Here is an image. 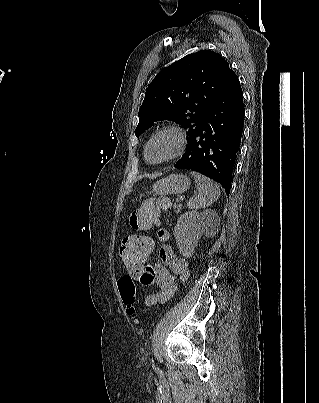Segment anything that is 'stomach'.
<instances>
[{
  "instance_id": "0dacf381",
  "label": "stomach",
  "mask_w": 319,
  "mask_h": 403,
  "mask_svg": "<svg viewBox=\"0 0 319 403\" xmlns=\"http://www.w3.org/2000/svg\"><path fill=\"white\" fill-rule=\"evenodd\" d=\"M190 184V179L186 175L171 174L154 183L152 192L159 196L182 194L189 188Z\"/></svg>"
}]
</instances>
